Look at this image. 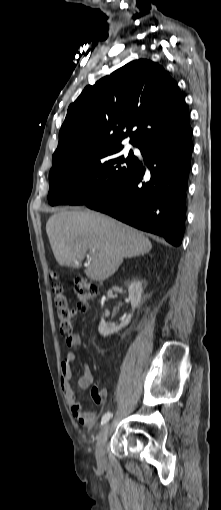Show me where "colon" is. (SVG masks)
I'll return each instance as SVG.
<instances>
[{
  "instance_id": "colon-1",
  "label": "colon",
  "mask_w": 221,
  "mask_h": 510,
  "mask_svg": "<svg viewBox=\"0 0 221 510\" xmlns=\"http://www.w3.org/2000/svg\"><path fill=\"white\" fill-rule=\"evenodd\" d=\"M55 292V306L57 317L59 319L60 332L63 337H70L73 332V319L77 311H87L90 302L96 297L98 287L92 280L79 276L76 278L74 292L76 295V308L71 306L70 298L64 292L62 286L57 281L53 283ZM92 397L97 404H101L104 399L97 387L92 388Z\"/></svg>"
}]
</instances>
